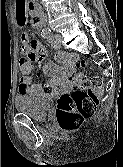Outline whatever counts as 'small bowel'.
Segmentation results:
<instances>
[{"label": "small bowel", "mask_w": 123, "mask_h": 167, "mask_svg": "<svg viewBox=\"0 0 123 167\" xmlns=\"http://www.w3.org/2000/svg\"><path fill=\"white\" fill-rule=\"evenodd\" d=\"M16 9L15 14H17V24H27V13L25 0H15ZM33 25H37V21H33ZM21 53L28 59V64L24 68H20L21 77L18 86V93L20 95L29 96H45L46 90L41 85L34 83L30 77L33 66L32 62L41 61L46 56L45 48L38 42H30V37L27 33L21 35ZM63 54L59 57L62 58ZM72 66L69 65L65 68L59 67L52 62H48L44 65V71L48 73L51 77V85L62 90H66L70 87V77H71Z\"/></svg>", "instance_id": "small-bowel-1"}]
</instances>
